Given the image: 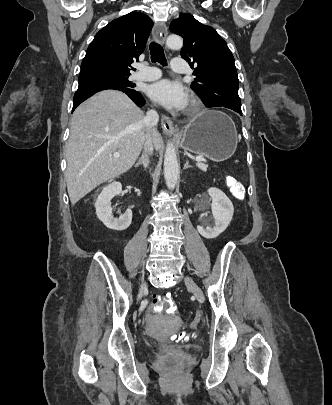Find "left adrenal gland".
Instances as JSON below:
<instances>
[{
  "instance_id": "left-adrenal-gland-1",
  "label": "left adrenal gland",
  "mask_w": 332,
  "mask_h": 405,
  "mask_svg": "<svg viewBox=\"0 0 332 405\" xmlns=\"http://www.w3.org/2000/svg\"><path fill=\"white\" fill-rule=\"evenodd\" d=\"M187 168H191V166L189 165V161L187 160L186 163L184 164V170Z\"/></svg>"
}]
</instances>
